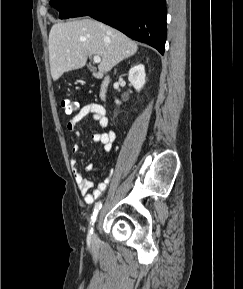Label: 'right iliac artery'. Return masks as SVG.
<instances>
[{"instance_id": "82829eb1", "label": "right iliac artery", "mask_w": 243, "mask_h": 289, "mask_svg": "<svg viewBox=\"0 0 243 289\" xmlns=\"http://www.w3.org/2000/svg\"><path fill=\"white\" fill-rule=\"evenodd\" d=\"M101 207H102V202H97L96 204H95V207H94V210H93V214H92V216H91V225H93V223L95 222V219H96V215H97V213L99 212V210L101 209ZM93 234V228H92V226L90 227V229H89V237L91 236Z\"/></svg>"}]
</instances>
